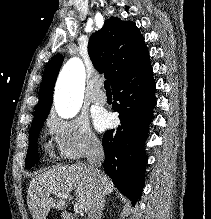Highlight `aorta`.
<instances>
[{
    "label": "aorta",
    "instance_id": "762f6f07",
    "mask_svg": "<svg viewBox=\"0 0 211 219\" xmlns=\"http://www.w3.org/2000/svg\"><path fill=\"white\" fill-rule=\"evenodd\" d=\"M85 70L80 59L69 60L59 74L55 88V108L63 118L74 117L83 101Z\"/></svg>",
    "mask_w": 211,
    "mask_h": 219
}]
</instances>
